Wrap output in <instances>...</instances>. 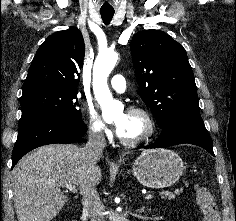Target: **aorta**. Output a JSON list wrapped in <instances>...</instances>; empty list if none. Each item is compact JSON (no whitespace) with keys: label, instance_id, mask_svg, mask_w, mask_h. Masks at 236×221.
<instances>
[{"label":"aorta","instance_id":"762f6f07","mask_svg":"<svg viewBox=\"0 0 236 221\" xmlns=\"http://www.w3.org/2000/svg\"><path fill=\"white\" fill-rule=\"evenodd\" d=\"M117 60L118 55L115 52L100 53L93 67V90L101 106L104 119H113L123 112L122 103L113 99L107 84V78L115 67Z\"/></svg>","mask_w":236,"mask_h":221}]
</instances>
